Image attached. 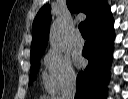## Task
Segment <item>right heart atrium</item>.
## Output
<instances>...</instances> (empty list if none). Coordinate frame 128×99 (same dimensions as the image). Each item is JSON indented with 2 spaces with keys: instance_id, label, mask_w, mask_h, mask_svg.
<instances>
[{
  "instance_id": "right-heart-atrium-1",
  "label": "right heart atrium",
  "mask_w": 128,
  "mask_h": 99,
  "mask_svg": "<svg viewBox=\"0 0 128 99\" xmlns=\"http://www.w3.org/2000/svg\"><path fill=\"white\" fill-rule=\"evenodd\" d=\"M44 64L48 71L52 89L62 92L76 82V73L70 58L57 50L50 49L44 56Z\"/></svg>"
}]
</instances>
